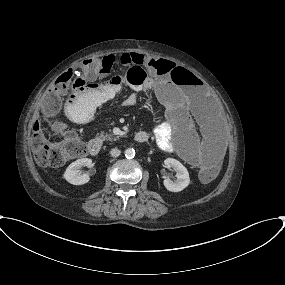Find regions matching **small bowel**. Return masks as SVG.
<instances>
[{"label":"small bowel","instance_id":"obj_1","mask_svg":"<svg viewBox=\"0 0 285 285\" xmlns=\"http://www.w3.org/2000/svg\"><path fill=\"white\" fill-rule=\"evenodd\" d=\"M122 61L124 63L156 62L157 59L153 57L145 59L141 55L125 53L122 55ZM148 73L152 80L145 87L135 88L133 92L125 96L122 99V105L132 106L136 104L138 92L154 88V80L162 79L165 82H171L173 79L171 76L160 75L153 65L149 66ZM120 92L121 86L114 80L103 82L91 80L71 93L65 104V112L71 120L83 122L88 117L85 109H92L103 102L115 99ZM197 98L198 96L194 91L191 97L179 95L175 99L164 100L163 106L166 110L167 121L158 124L153 130V135L159 148L169 150L174 147L175 143L172 126L178 125L188 129L187 137L184 140L177 141L183 146L182 157L185 161L203 168L216 161L221 151L224 150L225 141L207 119L194 115L192 107ZM77 103H80L84 110L75 107ZM194 121L198 124L197 130L192 129Z\"/></svg>","mask_w":285,"mask_h":285}]
</instances>
